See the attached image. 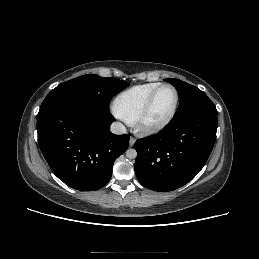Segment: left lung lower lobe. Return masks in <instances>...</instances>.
I'll use <instances>...</instances> for the list:
<instances>
[{
  "mask_svg": "<svg viewBox=\"0 0 259 259\" xmlns=\"http://www.w3.org/2000/svg\"><path fill=\"white\" fill-rule=\"evenodd\" d=\"M217 111L192 110L157 134L136 141L135 174L146 188L167 192L191 181L204 167L216 140Z\"/></svg>",
  "mask_w": 259,
  "mask_h": 259,
  "instance_id": "obj_1",
  "label": "left lung lower lobe"
}]
</instances>
